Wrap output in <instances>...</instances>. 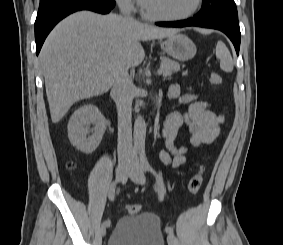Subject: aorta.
<instances>
[{"instance_id": "obj_1", "label": "aorta", "mask_w": 283, "mask_h": 245, "mask_svg": "<svg viewBox=\"0 0 283 245\" xmlns=\"http://www.w3.org/2000/svg\"><path fill=\"white\" fill-rule=\"evenodd\" d=\"M134 148L137 151H144L146 139V123L142 116H138L134 123Z\"/></svg>"}]
</instances>
